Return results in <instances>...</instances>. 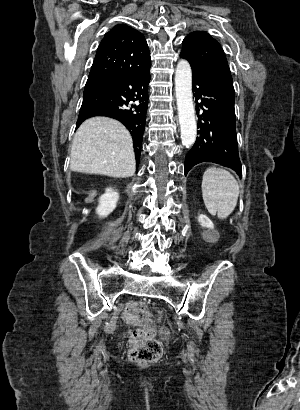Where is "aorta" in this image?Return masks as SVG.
Here are the masks:
<instances>
[{
  "mask_svg": "<svg viewBox=\"0 0 300 410\" xmlns=\"http://www.w3.org/2000/svg\"><path fill=\"white\" fill-rule=\"evenodd\" d=\"M175 91L182 144L190 147L195 143L197 126L192 95V71L185 59L180 60L176 67Z\"/></svg>",
  "mask_w": 300,
  "mask_h": 410,
  "instance_id": "obj_1",
  "label": "aorta"
}]
</instances>
